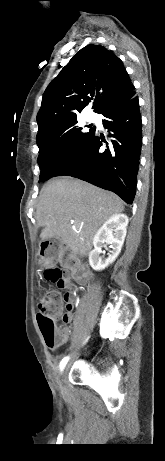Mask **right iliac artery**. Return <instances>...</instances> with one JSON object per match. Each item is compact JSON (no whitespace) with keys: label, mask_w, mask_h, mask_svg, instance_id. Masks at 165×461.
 Wrapping results in <instances>:
<instances>
[{"label":"right iliac artery","mask_w":165,"mask_h":461,"mask_svg":"<svg viewBox=\"0 0 165 461\" xmlns=\"http://www.w3.org/2000/svg\"><path fill=\"white\" fill-rule=\"evenodd\" d=\"M68 359H69L68 357H65V358L61 361V363H60L61 369H63V368L65 367L66 363L68 362Z\"/></svg>","instance_id":"82829eb1"}]
</instances>
